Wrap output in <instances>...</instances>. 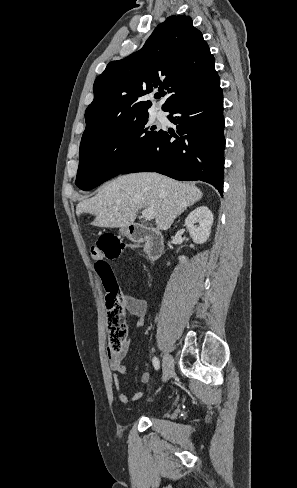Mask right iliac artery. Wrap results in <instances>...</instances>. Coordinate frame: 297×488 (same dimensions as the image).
Instances as JSON below:
<instances>
[{"mask_svg": "<svg viewBox=\"0 0 297 488\" xmlns=\"http://www.w3.org/2000/svg\"><path fill=\"white\" fill-rule=\"evenodd\" d=\"M152 363H153V366H154V368H155L156 370H158V369L160 368V362H159V360H158V358H157V357H154V358L152 359Z\"/></svg>", "mask_w": 297, "mask_h": 488, "instance_id": "82829eb1", "label": "right iliac artery"}]
</instances>
